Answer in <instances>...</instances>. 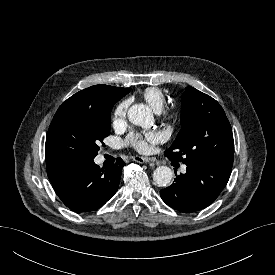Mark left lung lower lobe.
I'll return each instance as SVG.
<instances>
[{"label":"left lung lower lobe","mask_w":275,"mask_h":275,"mask_svg":"<svg viewBox=\"0 0 275 275\" xmlns=\"http://www.w3.org/2000/svg\"><path fill=\"white\" fill-rule=\"evenodd\" d=\"M186 165L187 172L178 175L171 186L160 191V195L173 209L191 213L215 201L229 180L232 166L205 161Z\"/></svg>","instance_id":"1"}]
</instances>
